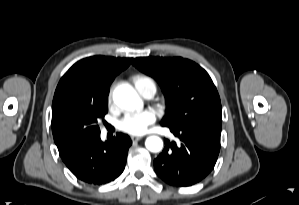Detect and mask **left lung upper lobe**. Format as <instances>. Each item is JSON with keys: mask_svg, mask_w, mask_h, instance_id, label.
I'll return each mask as SVG.
<instances>
[{"mask_svg": "<svg viewBox=\"0 0 299 205\" xmlns=\"http://www.w3.org/2000/svg\"><path fill=\"white\" fill-rule=\"evenodd\" d=\"M133 65L153 77L167 101V127L221 120V102L208 73L195 62L181 57H139Z\"/></svg>", "mask_w": 299, "mask_h": 205, "instance_id": "left-lung-upper-lobe-1", "label": "left lung upper lobe"}]
</instances>
